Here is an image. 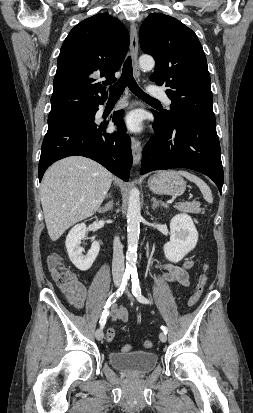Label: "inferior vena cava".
Returning a JSON list of instances; mask_svg holds the SVG:
<instances>
[{
	"instance_id": "1",
	"label": "inferior vena cava",
	"mask_w": 253,
	"mask_h": 413,
	"mask_svg": "<svg viewBox=\"0 0 253 413\" xmlns=\"http://www.w3.org/2000/svg\"><path fill=\"white\" fill-rule=\"evenodd\" d=\"M112 273L117 277H121L124 273L123 246L119 237H115L113 243Z\"/></svg>"
}]
</instances>
